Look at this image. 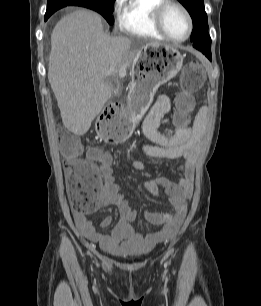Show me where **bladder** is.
<instances>
[{"mask_svg": "<svg viewBox=\"0 0 261 306\" xmlns=\"http://www.w3.org/2000/svg\"><path fill=\"white\" fill-rule=\"evenodd\" d=\"M121 256H125V259L132 260V261H135L141 258V256L138 255L137 253H124Z\"/></svg>", "mask_w": 261, "mask_h": 306, "instance_id": "1", "label": "bladder"}]
</instances>
